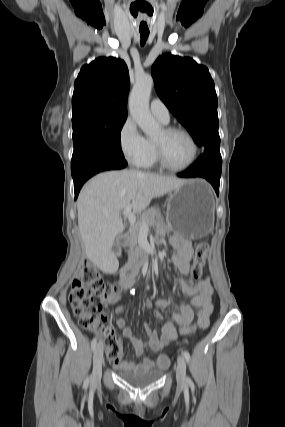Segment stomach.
I'll use <instances>...</instances> for the list:
<instances>
[{"label":"stomach","mask_w":285,"mask_h":427,"mask_svg":"<svg viewBox=\"0 0 285 427\" xmlns=\"http://www.w3.org/2000/svg\"><path fill=\"white\" fill-rule=\"evenodd\" d=\"M214 207L213 194L205 180H186L170 195L166 222L173 233L199 239L213 229Z\"/></svg>","instance_id":"0dacf381"}]
</instances>
